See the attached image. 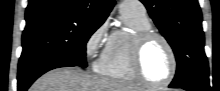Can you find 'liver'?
<instances>
[{
	"instance_id": "6515ba94",
	"label": "liver",
	"mask_w": 220,
	"mask_h": 91,
	"mask_svg": "<svg viewBox=\"0 0 220 91\" xmlns=\"http://www.w3.org/2000/svg\"><path fill=\"white\" fill-rule=\"evenodd\" d=\"M29 91H140L125 81L83 72L79 68H57L38 78Z\"/></svg>"
}]
</instances>
